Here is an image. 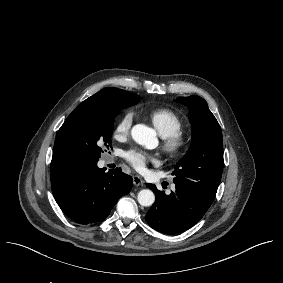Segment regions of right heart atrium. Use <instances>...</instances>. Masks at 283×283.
<instances>
[{"label": "right heart atrium", "mask_w": 283, "mask_h": 283, "mask_svg": "<svg viewBox=\"0 0 283 283\" xmlns=\"http://www.w3.org/2000/svg\"><path fill=\"white\" fill-rule=\"evenodd\" d=\"M133 117L131 114H125L118 119L113 127V138L115 140H123L129 136Z\"/></svg>", "instance_id": "d8ad5b80"}]
</instances>
